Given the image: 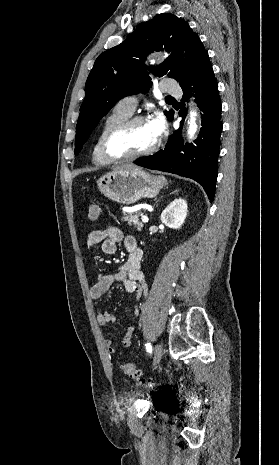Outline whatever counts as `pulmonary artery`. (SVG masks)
<instances>
[{"instance_id":"e3ab8cb5","label":"pulmonary artery","mask_w":279,"mask_h":465,"mask_svg":"<svg viewBox=\"0 0 279 465\" xmlns=\"http://www.w3.org/2000/svg\"><path fill=\"white\" fill-rule=\"evenodd\" d=\"M163 91L168 93V94H172V95L180 94L179 86H177L175 84H172V83L166 84L163 87ZM137 103H138L137 97H135V96H127V97L121 99L118 102V105L121 108H123L124 110H126L127 112L133 113L135 111L136 107H137Z\"/></svg>"}]
</instances>
